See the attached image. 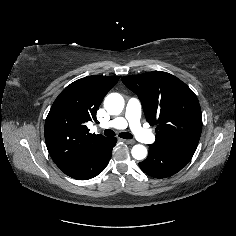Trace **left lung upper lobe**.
<instances>
[{"label":"left lung upper lobe","mask_w":236,"mask_h":236,"mask_svg":"<svg viewBox=\"0 0 236 236\" xmlns=\"http://www.w3.org/2000/svg\"><path fill=\"white\" fill-rule=\"evenodd\" d=\"M122 82L139 97L148 123L157 125L151 145L196 150L202 131L201 108L184 82L162 71L124 76Z\"/></svg>","instance_id":"5c2ea615"}]
</instances>
